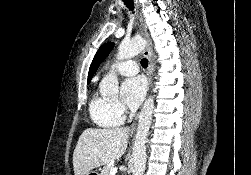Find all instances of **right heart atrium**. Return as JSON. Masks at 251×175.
Returning a JSON list of instances; mask_svg holds the SVG:
<instances>
[{
	"instance_id": "d8ad5b80",
	"label": "right heart atrium",
	"mask_w": 251,
	"mask_h": 175,
	"mask_svg": "<svg viewBox=\"0 0 251 175\" xmlns=\"http://www.w3.org/2000/svg\"><path fill=\"white\" fill-rule=\"evenodd\" d=\"M113 113L118 118L119 121H123L126 116V111L121 104L112 105Z\"/></svg>"
}]
</instances>
